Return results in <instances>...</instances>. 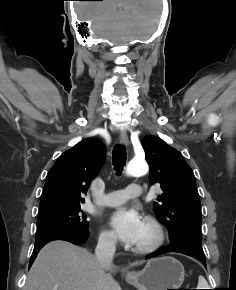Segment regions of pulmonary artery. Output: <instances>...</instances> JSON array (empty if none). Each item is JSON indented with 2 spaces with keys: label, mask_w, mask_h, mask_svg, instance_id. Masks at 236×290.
<instances>
[{
  "label": "pulmonary artery",
  "mask_w": 236,
  "mask_h": 290,
  "mask_svg": "<svg viewBox=\"0 0 236 290\" xmlns=\"http://www.w3.org/2000/svg\"><path fill=\"white\" fill-rule=\"evenodd\" d=\"M141 188L137 184H129L124 190L114 191L106 194L102 199L105 206H117L130 198H138L141 196Z\"/></svg>",
  "instance_id": "obj_1"
}]
</instances>
